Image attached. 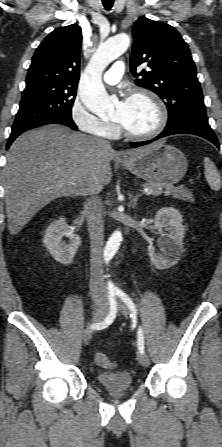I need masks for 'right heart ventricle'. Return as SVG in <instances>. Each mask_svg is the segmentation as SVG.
<instances>
[{"label": "right heart ventricle", "instance_id": "right-heart-ventricle-1", "mask_svg": "<svg viewBox=\"0 0 222 447\" xmlns=\"http://www.w3.org/2000/svg\"><path fill=\"white\" fill-rule=\"evenodd\" d=\"M115 135V132H112L111 134H109V136H114Z\"/></svg>", "mask_w": 222, "mask_h": 447}]
</instances>
